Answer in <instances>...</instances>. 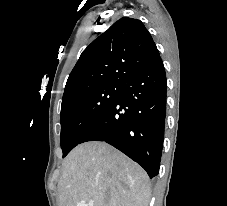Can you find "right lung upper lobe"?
Listing matches in <instances>:
<instances>
[{"label":"right lung upper lobe","mask_w":227,"mask_h":206,"mask_svg":"<svg viewBox=\"0 0 227 206\" xmlns=\"http://www.w3.org/2000/svg\"><path fill=\"white\" fill-rule=\"evenodd\" d=\"M159 58L144 24L138 19L123 17L82 52L69 75L63 99L92 86L122 83Z\"/></svg>","instance_id":"cb5924a9"}]
</instances>
